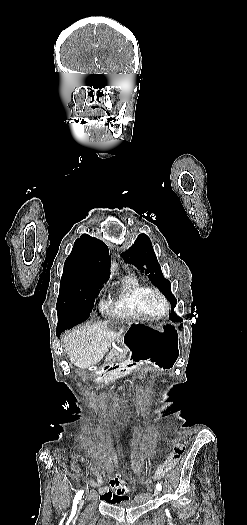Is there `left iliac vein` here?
<instances>
[{
  "label": "left iliac vein",
  "instance_id": "left-iliac-vein-1",
  "mask_svg": "<svg viewBox=\"0 0 247 525\" xmlns=\"http://www.w3.org/2000/svg\"><path fill=\"white\" fill-rule=\"evenodd\" d=\"M159 494H160V491H159L158 489H155V491H154V495H155L156 497H158Z\"/></svg>",
  "mask_w": 247,
  "mask_h": 525
}]
</instances>
